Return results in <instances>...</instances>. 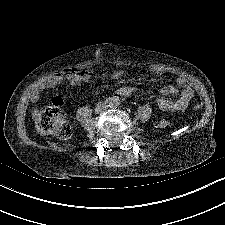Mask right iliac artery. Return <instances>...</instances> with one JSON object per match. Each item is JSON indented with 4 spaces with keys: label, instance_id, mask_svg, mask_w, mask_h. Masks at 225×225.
<instances>
[{
    "label": "right iliac artery",
    "instance_id": "obj_1",
    "mask_svg": "<svg viewBox=\"0 0 225 225\" xmlns=\"http://www.w3.org/2000/svg\"><path fill=\"white\" fill-rule=\"evenodd\" d=\"M112 102H113V99L112 98L107 99L108 106L112 105Z\"/></svg>",
    "mask_w": 225,
    "mask_h": 225
}]
</instances>
